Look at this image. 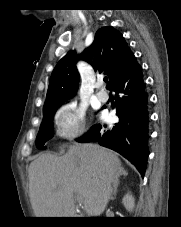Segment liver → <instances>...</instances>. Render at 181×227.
<instances>
[{"label":"liver","mask_w":181,"mask_h":227,"mask_svg":"<svg viewBox=\"0 0 181 227\" xmlns=\"http://www.w3.org/2000/svg\"><path fill=\"white\" fill-rule=\"evenodd\" d=\"M121 168L117 154L97 144L75 143L61 157L39 155L28 172L34 214L75 217V202L79 199L88 215L102 214Z\"/></svg>","instance_id":"obj_1"}]
</instances>
